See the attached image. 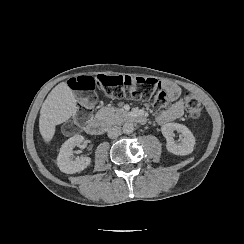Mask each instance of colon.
Here are the masks:
<instances>
[{"label": "colon", "mask_w": 244, "mask_h": 244, "mask_svg": "<svg viewBox=\"0 0 244 244\" xmlns=\"http://www.w3.org/2000/svg\"><path fill=\"white\" fill-rule=\"evenodd\" d=\"M70 87L82 94L81 108L76 112V118L70 119L64 125L68 134H74L82 129L83 123L89 121L94 103L97 101L96 88L104 90L105 94L114 99H122L127 96L133 99L152 100L157 106L164 107L168 104L167 92L161 88L160 82L151 77L131 75H93L86 74L74 77L70 81ZM186 104V115L190 119H198L202 112L201 101L191 92L183 95Z\"/></svg>", "instance_id": "5ec220e1"}]
</instances>
